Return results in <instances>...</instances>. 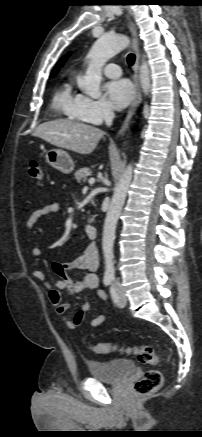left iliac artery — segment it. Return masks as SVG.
<instances>
[{
    "mask_svg": "<svg viewBox=\"0 0 202 437\" xmlns=\"http://www.w3.org/2000/svg\"><path fill=\"white\" fill-rule=\"evenodd\" d=\"M110 294H111L112 300L116 303L118 296H117V293H116L115 288L113 286H111V288H110Z\"/></svg>",
    "mask_w": 202,
    "mask_h": 437,
    "instance_id": "1",
    "label": "left iliac artery"
}]
</instances>
